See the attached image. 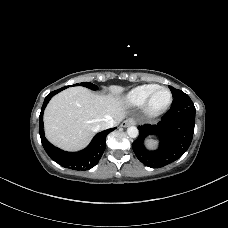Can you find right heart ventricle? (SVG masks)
<instances>
[{"mask_svg": "<svg viewBox=\"0 0 228 228\" xmlns=\"http://www.w3.org/2000/svg\"><path fill=\"white\" fill-rule=\"evenodd\" d=\"M157 84H144L131 89L124 98L127 105L132 107L142 106L150 93L156 89Z\"/></svg>", "mask_w": 228, "mask_h": 228, "instance_id": "e07e8e85", "label": "right heart ventricle"}]
</instances>
